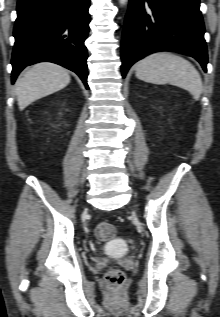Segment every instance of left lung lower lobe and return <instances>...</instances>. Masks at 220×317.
I'll return each instance as SVG.
<instances>
[{"label": "left lung lower lobe", "mask_w": 220, "mask_h": 317, "mask_svg": "<svg viewBox=\"0 0 220 317\" xmlns=\"http://www.w3.org/2000/svg\"><path fill=\"white\" fill-rule=\"evenodd\" d=\"M199 0H130L122 37V76L136 61L159 50L188 54L207 71Z\"/></svg>", "instance_id": "obj_1"}]
</instances>
